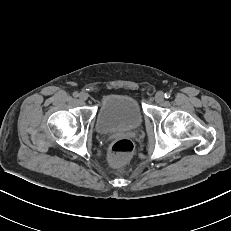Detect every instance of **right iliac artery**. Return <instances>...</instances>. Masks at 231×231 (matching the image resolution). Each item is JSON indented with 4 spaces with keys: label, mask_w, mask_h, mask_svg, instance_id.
Instances as JSON below:
<instances>
[{
    "label": "right iliac artery",
    "mask_w": 231,
    "mask_h": 231,
    "mask_svg": "<svg viewBox=\"0 0 231 231\" xmlns=\"http://www.w3.org/2000/svg\"><path fill=\"white\" fill-rule=\"evenodd\" d=\"M78 95H79L78 92H74V93H73V96H74V97H78Z\"/></svg>",
    "instance_id": "right-iliac-artery-1"
}]
</instances>
